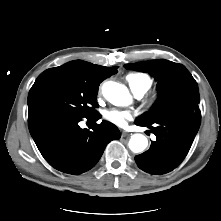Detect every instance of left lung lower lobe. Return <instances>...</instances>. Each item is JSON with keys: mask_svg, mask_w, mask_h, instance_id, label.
<instances>
[{"mask_svg": "<svg viewBox=\"0 0 221 221\" xmlns=\"http://www.w3.org/2000/svg\"><path fill=\"white\" fill-rule=\"evenodd\" d=\"M200 122L201 116H174L153 123L136 120V125L148 126L157 137L148 151L135 156L138 167L155 175L175 169L186 157Z\"/></svg>", "mask_w": 221, "mask_h": 221, "instance_id": "1", "label": "left lung lower lobe"}]
</instances>
